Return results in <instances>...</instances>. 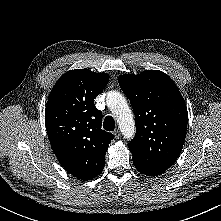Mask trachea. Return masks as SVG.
I'll return each mask as SVG.
<instances>
[{"mask_svg":"<svg viewBox=\"0 0 221 221\" xmlns=\"http://www.w3.org/2000/svg\"><path fill=\"white\" fill-rule=\"evenodd\" d=\"M103 128L107 131H113L115 128V122L112 116H107L104 119Z\"/></svg>","mask_w":221,"mask_h":221,"instance_id":"trachea-1","label":"trachea"}]
</instances>
